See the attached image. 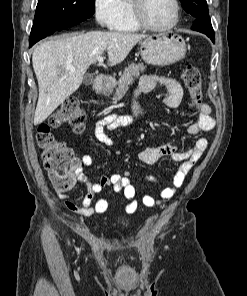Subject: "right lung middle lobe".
Segmentation results:
<instances>
[{
    "instance_id": "right-lung-middle-lobe-1",
    "label": "right lung middle lobe",
    "mask_w": 247,
    "mask_h": 296,
    "mask_svg": "<svg viewBox=\"0 0 247 296\" xmlns=\"http://www.w3.org/2000/svg\"><path fill=\"white\" fill-rule=\"evenodd\" d=\"M95 0H38L31 38H41L50 29L60 31L90 18Z\"/></svg>"
}]
</instances>
